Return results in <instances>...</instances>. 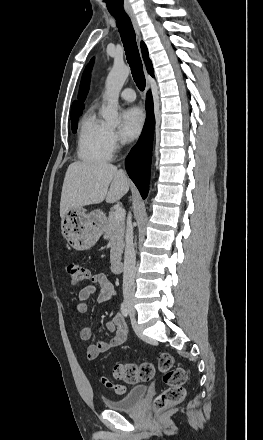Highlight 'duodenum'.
Instances as JSON below:
<instances>
[{
    "mask_svg": "<svg viewBox=\"0 0 263 440\" xmlns=\"http://www.w3.org/2000/svg\"><path fill=\"white\" fill-rule=\"evenodd\" d=\"M112 271L115 274L121 273V271H122V262L120 260H115L113 262Z\"/></svg>",
    "mask_w": 263,
    "mask_h": 440,
    "instance_id": "obj_1",
    "label": "duodenum"
}]
</instances>
